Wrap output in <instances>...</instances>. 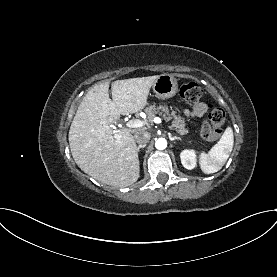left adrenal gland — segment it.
<instances>
[{
    "label": "left adrenal gland",
    "mask_w": 277,
    "mask_h": 277,
    "mask_svg": "<svg viewBox=\"0 0 277 277\" xmlns=\"http://www.w3.org/2000/svg\"><path fill=\"white\" fill-rule=\"evenodd\" d=\"M169 139H170V141L181 140L180 137L172 136L171 134H169Z\"/></svg>",
    "instance_id": "left-adrenal-gland-1"
}]
</instances>
